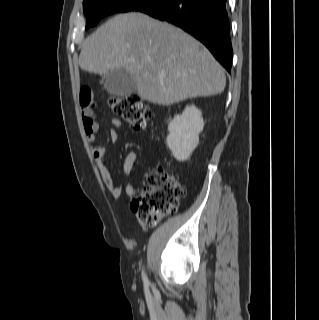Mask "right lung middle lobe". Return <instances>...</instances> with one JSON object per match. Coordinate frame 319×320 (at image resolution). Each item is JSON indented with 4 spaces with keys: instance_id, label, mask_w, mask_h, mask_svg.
<instances>
[{
    "instance_id": "dd1d6c3e",
    "label": "right lung middle lobe",
    "mask_w": 319,
    "mask_h": 320,
    "mask_svg": "<svg viewBox=\"0 0 319 320\" xmlns=\"http://www.w3.org/2000/svg\"><path fill=\"white\" fill-rule=\"evenodd\" d=\"M159 0H84L83 11L86 15V28L97 25L106 15L118 12L137 11L141 7Z\"/></svg>"
}]
</instances>
